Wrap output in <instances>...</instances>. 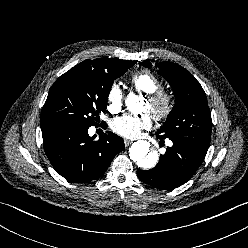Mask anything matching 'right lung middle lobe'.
Instances as JSON below:
<instances>
[{"mask_svg": "<svg viewBox=\"0 0 248 248\" xmlns=\"http://www.w3.org/2000/svg\"><path fill=\"white\" fill-rule=\"evenodd\" d=\"M134 64V61H127L111 71L71 68L52 85L41 111V128L58 125L96 126L99 114L106 110L114 79Z\"/></svg>", "mask_w": 248, "mask_h": 248, "instance_id": "obj_1", "label": "right lung middle lobe"}]
</instances>
